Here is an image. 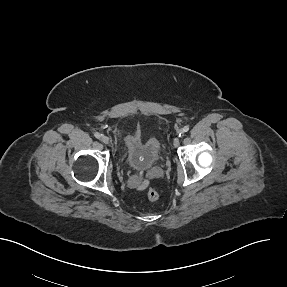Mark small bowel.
<instances>
[{
  "mask_svg": "<svg viewBox=\"0 0 287 287\" xmlns=\"http://www.w3.org/2000/svg\"><path fill=\"white\" fill-rule=\"evenodd\" d=\"M143 188H144L143 186L140 187V189H143Z\"/></svg>",
  "mask_w": 287,
  "mask_h": 287,
  "instance_id": "c3829d8e",
  "label": "small bowel"
}]
</instances>
